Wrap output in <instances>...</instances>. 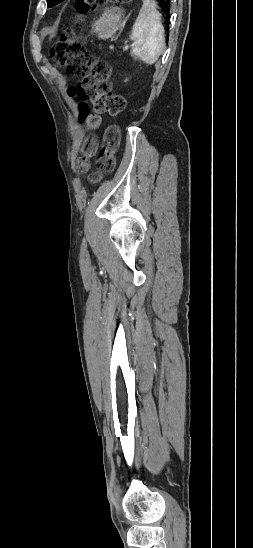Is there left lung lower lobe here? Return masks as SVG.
Masks as SVG:
<instances>
[{"label":"left lung lower lobe","mask_w":253,"mask_h":548,"mask_svg":"<svg viewBox=\"0 0 253 548\" xmlns=\"http://www.w3.org/2000/svg\"><path fill=\"white\" fill-rule=\"evenodd\" d=\"M156 1L158 2V5L161 7L164 14L166 15V18H169V16H170V6H171L170 1L171 0H156Z\"/></svg>","instance_id":"left-lung-lower-lobe-1"}]
</instances>
